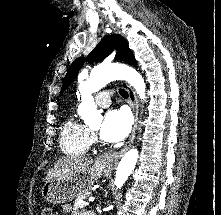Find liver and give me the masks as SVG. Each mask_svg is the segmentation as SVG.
<instances>
[{
    "instance_id": "1",
    "label": "liver",
    "mask_w": 221,
    "mask_h": 215,
    "mask_svg": "<svg viewBox=\"0 0 221 215\" xmlns=\"http://www.w3.org/2000/svg\"><path fill=\"white\" fill-rule=\"evenodd\" d=\"M94 159L81 156H65L58 159L54 167L50 169L45 177L46 182L52 179H67L76 176L90 168Z\"/></svg>"
}]
</instances>
